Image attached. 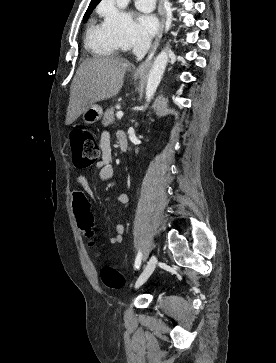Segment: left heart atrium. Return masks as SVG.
<instances>
[{
  "label": "left heart atrium",
  "instance_id": "left-heart-atrium-1",
  "mask_svg": "<svg viewBox=\"0 0 276 363\" xmlns=\"http://www.w3.org/2000/svg\"><path fill=\"white\" fill-rule=\"evenodd\" d=\"M159 19L154 14H140L138 16V28L146 38L154 36L159 29Z\"/></svg>",
  "mask_w": 276,
  "mask_h": 363
}]
</instances>
